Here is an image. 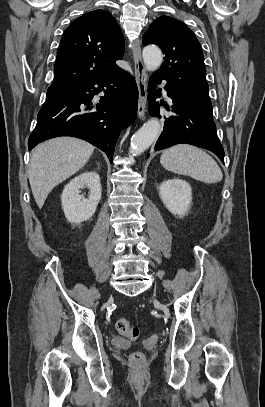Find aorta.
Listing matches in <instances>:
<instances>
[{"mask_svg": "<svg viewBox=\"0 0 265 407\" xmlns=\"http://www.w3.org/2000/svg\"><path fill=\"white\" fill-rule=\"evenodd\" d=\"M144 64L149 71L156 70L162 63V52L157 47L148 46L143 50ZM161 130L158 119L147 121L133 136L129 153L133 156L143 153L156 140Z\"/></svg>", "mask_w": 265, "mask_h": 407, "instance_id": "1", "label": "aorta"}]
</instances>
